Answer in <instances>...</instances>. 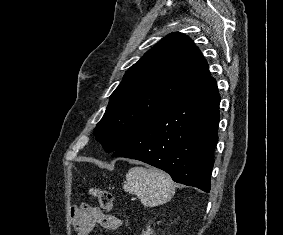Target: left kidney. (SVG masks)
I'll use <instances>...</instances> for the list:
<instances>
[{
	"label": "left kidney",
	"mask_w": 283,
	"mask_h": 235,
	"mask_svg": "<svg viewBox=\"0 0 283 235\" xmlns=\"http://www.w3.org/2000/svg\"><path fill=\"white\" fill-rule=\"evenodd\" d=\"M141 235H152V230L150 228H147V230L144 231Z\"/></svg>",
	"instance_id": "1"
}]
</instances>
